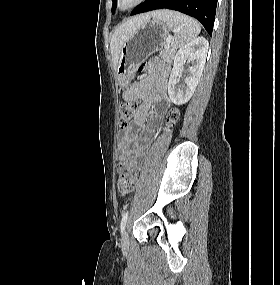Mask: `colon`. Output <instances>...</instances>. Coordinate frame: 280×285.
Masks as SVG:
<instances>
[{"mask_svg":"<svg viewBox=\"0 0 280 285\" xmlns=\"http://www.w3.org/2000/svg\"><path fill=\"white\" fill-rule=\"evenodd\" d=\"M138 109V102L136 100H129L122 103L119 107V126L126 128L136 115ZM179 112L176 108L169 110L166 117V126L171 127L178 119ZM137 175L130 170H123L118 178V190L121 194L130 193L136 186Z\"/></svg>","mask_w":280,"mask_h":285,"instance_id":"1","label":"colon"}]
</instances>
